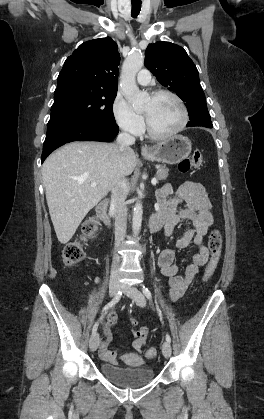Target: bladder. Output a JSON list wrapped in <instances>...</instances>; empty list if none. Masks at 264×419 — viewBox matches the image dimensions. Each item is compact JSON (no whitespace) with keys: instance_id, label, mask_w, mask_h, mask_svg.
I'll return each instance as SVG.
<instances>
[{"instance_id":"bladder-1","label":"bladder","mask_w":264,"mask_h":419,"mask_svg":"<svg viewBox=\"0 0 264 419\" xmlns=\"http://www.w3.org/2000/svg\"><path fill=\"white\" fill-rule=\"evenodd\" d=\"M101 373L114 384L123 388H137L150 383L154 370L146 366L120 367L109 363L100 365Z\"/></svg>"}]
</instances>
